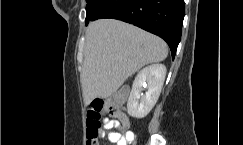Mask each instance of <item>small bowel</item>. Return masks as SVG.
Instances as JSON below:
<instances>
[{
    "mask_svg": "<svg viewBox=\"0 0 243 145\" xmlns=\"http://www.w3.org/2000/svg\"><path fill=\"white\" fill-rule=\"evenodd\" d=\"M116 118H118V120H111L106 118L103 121L102 127L104 131L98 133L96 140L103 139L107 135L110 142L115 143L116 145L133 144L135 141L134 132L130 130L124 133L111 131L112 128H120L122 125H124V122H127V118L122 112H119Z\"/></svg>",
    "mask_w": 243,
    "mask_h": 145,
    "instance_id": "small-bowel-1",
    "label": "small bowel"
}]
</instances>
